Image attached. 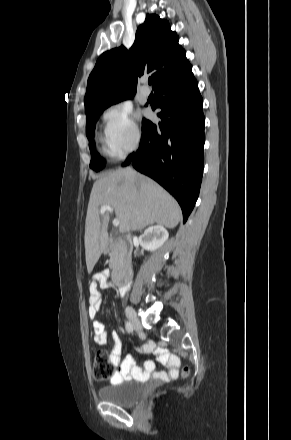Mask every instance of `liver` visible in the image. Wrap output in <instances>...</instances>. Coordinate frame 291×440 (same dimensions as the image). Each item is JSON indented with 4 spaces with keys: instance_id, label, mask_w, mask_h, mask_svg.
Returning a JSON list of instances; mask_svg holds the SVG:
<instances>
[{
    "instance_id": "6515ba94",
    "label": "liver",
    "mask_w": 291,
    "mask_h": 440,
    "mask_svg": "<svg viewBox=\"0 0 291 440\" xmlns=\"http://www.w3.org/2000/svg\"><path fill=\"white\" fill-rule=\"evenodd\" d=\"M110 206L119 220V231L128 233L155 223L174 228L181 219L177 201L152 179L126 168L95 181L85 222V255L90 273L107 246L109 214L99 208Z\"/></svg>"
}]
</instances>
